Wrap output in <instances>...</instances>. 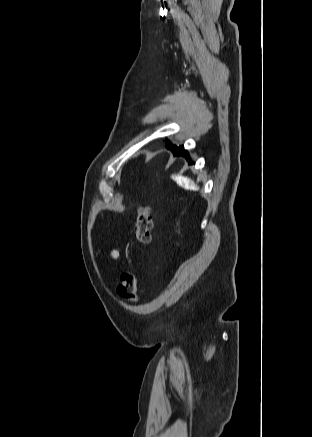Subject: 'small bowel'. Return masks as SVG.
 Returning a JSON list of instances; mask_svg holds the SVG:
<instances>
[{
    "mask_svg": "<svg viewBox=\"0 0 312 437\" xmlns=\"http://www.w3.org/2000/svg\"><path fill=\"white\" fill-rule=\"evenodd\" d=\"M119 256H120V252H119V250H113V252H112V258H113V259H117V258H119Z\"/></svg>",
    "mask_w": 312,
    "mask_h": 437,
    "instance_id": "obj_1",
    "label": "small bowel"
}]
</instances>
